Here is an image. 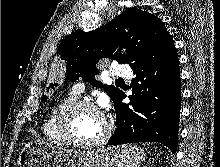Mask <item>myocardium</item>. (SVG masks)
Returning <instances> with one entry per match:
<instances>
[{
  "label": "myocardium",
  "instance_id": "myocardium-1",
  "mask_svg": "<svg viewBox=\"0 0 220 167\" xmlns=\"http://www.w3.org/2000/svg\"><path fill=\"white\" fill-rule=\"evenodd\" d=\"M80 108H88L101 114L104 119L105 127L100 137L91 141H83L73 137L70 132V121L73 114ZM57 131L66 144L81 147L93 148L105 144L112 133V124L103 112L91 101L85 99H75L67 104L60 112L57 119Z\"/></svg>",
  "mask_w": 220,
  "mask_h": 167
}]
</instances>
